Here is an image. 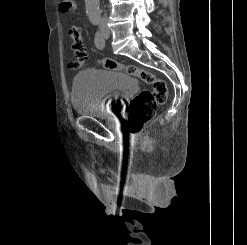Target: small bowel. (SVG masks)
Here are the masks:
<instances>
[{"instance_id": "1", "label": "small bowel", "mask_w": 247, "mask_h": 245, "mask_svg": "<svg viewBox=\"0 0 247 245\" xmlns=\"http://www.w3.org/2000/svg\"><path fill=\"white\" fill-rule=\"evenodd\" d=\"M64 12V11H63ZM72 30H75V31H77V32H79L80 34H81V30L78 28V27H72L71 28Z\"/></svg>"}]
</instances>
